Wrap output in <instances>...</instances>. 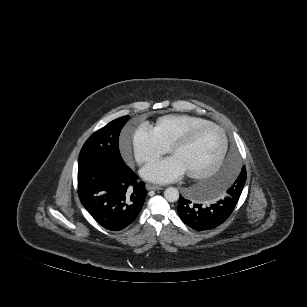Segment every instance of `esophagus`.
I'll list each match as a JSON object with an SVG mask.
<instances>
[{
  "label": "esophagus",
  "mask_w": 307,
  "mask_h": 307,
  "mask_svg": "<svg viewBox=\"0 0 307 307\" xmlns=\"http://www.w3.org/2000/svg\"><path fill=\"white\" fill-rule=\"evenodd\" d=\"M146 189H147V190H161L162 187L156 186V185L147 184V185H146Z\"/></svg>",
  "instance_id": "obj_1"
}]
</instances>
